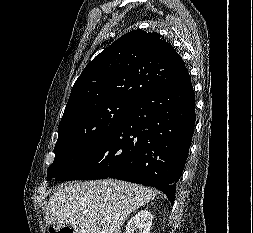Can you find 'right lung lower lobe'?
<instances>
[{"mask_svg": "<svg viewBox=\"0 0 253 233\" xmlns=\"http://www.w3.org/2000/svg\"><path fill=\"white\" fill-rule=\"evenodd\" d=\"M194 124V91L183 67L147 89L96 148L55 180L116 178L155 187L173 204Z\"/></svg>", "mask_w": 253, "mask_h": 233, "instance_id": "obj_1", "label": "right lung lower lobe"}]
</instances>
